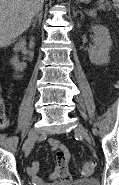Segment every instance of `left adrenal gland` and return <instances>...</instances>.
Instances as JSON below:
<instances>
[{
  "label": "left adrenal gland",
  "instance_id": "left-adrenal-gland-1",
  "mask_svg": "<svg viewBox=\"0 0 119 185\" xmlns=\"http://www.w3.org/2000/svg\"><path fill=\"white\" fill-rule=\"evenodd\" d=\"M77 15V12L76 13H74V16H76ZM82 15V14H81Z\"/></svg>",
  "mask_w": 119,
  "mask_h": 185
}]
</instances>
